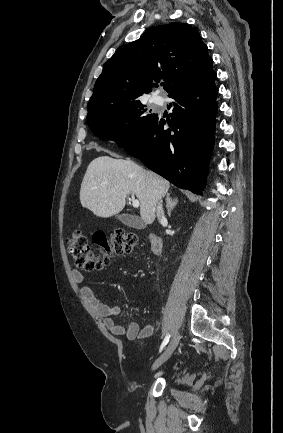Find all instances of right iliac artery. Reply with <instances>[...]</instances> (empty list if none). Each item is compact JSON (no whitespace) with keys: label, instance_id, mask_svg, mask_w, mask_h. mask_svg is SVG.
Listing matches in <instances>:
<instances>
[{"label":"right iliac artery","instance_id":"82829eb1","mask_svg":"<svg viewBox=\"0 0 283 433\" xmlns=\"http://www.w3.org/2000/svg\"><path fill=\"white\" fill-rule=\"evenodd\" d=\"M169 339H170V334H167L160 346V350H159L160 352L163 350L165 345L169 342Z\"/></svg>","mask_w":283,"mask_h":433}]
</instances>
